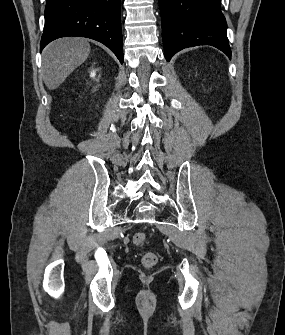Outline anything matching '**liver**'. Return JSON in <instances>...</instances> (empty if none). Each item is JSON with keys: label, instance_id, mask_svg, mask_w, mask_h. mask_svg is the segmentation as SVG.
Returning <instances> with one entry per match:
<instances>
[{"label": "liver", "instance_id": "obj_1", "mask_svg": "<svg viewBox=\"0 0 285 335\" xmlns=\"http://www.w3.org/2000/svg\"><path fill=\"white\" fill-rule=\"evenodd\" d=\"M90 54V46L83 38H60L43 52L42 68L48 90H56L67 76L81 66Z\"/></svg>", "mask_w": 285, "mask_h": 335}]
</instances>
